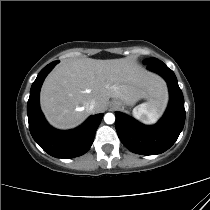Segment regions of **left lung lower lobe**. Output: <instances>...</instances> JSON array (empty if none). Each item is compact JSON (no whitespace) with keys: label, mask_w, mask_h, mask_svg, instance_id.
Listing matches in <instances>:
<instances>
[{"label":"left lung lower lobe","mask_w":210,"mask_h":210,"mask_svg":"<svg viewBox=\"0 0 210 210\" xmlns=\"http://www.w3.org/2000/svg\"><path fill=\"white\" fill-rule=\"evenodd\" d=\"M147 69L160 74L168 84L170 101L164 116L157 124L146 126L116 112L115 127L119 139L130 151L141 155H156L168 150L183 129L184 98L174 72L162 61L148 63Z\"/></svg>","instance_id":"obj_1"}]
</instances>
